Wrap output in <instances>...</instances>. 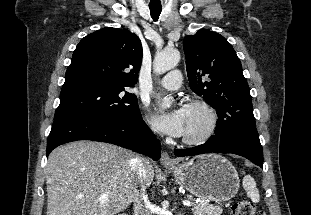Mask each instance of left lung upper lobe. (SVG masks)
<instances>
[{"instance_id": "obj_1", "label": "left lung upper lobe", "mask_w": 311, "mask_h": 215, "mask_svg": "<svg viewBox=\"0 0 311 215\" xmlns=\"http://www.w3.org/2000/svg\"><path fill=\"white\" fill-rule=\"evenodd\" d=\"M189 84L216 109L215 135L238 127L256 128L249 86L241 62L220 34L201 29L183 40Z\"/></svg>"}]
</instances>
